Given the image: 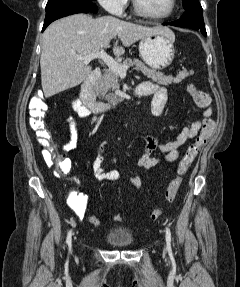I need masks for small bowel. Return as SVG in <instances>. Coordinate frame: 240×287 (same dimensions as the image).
I'll use <instances>...</instances> for the list:
<instances>
[{
    "mask_svg": "<svg viewBox=\"0 0 240 287\" xmlns=\"http://www.w3.org/2000/svg\"><path fill=\"white\" fill-rule=\"evenodd\" d=\"M141 96H151V111L154 115L160 116L165 110L167 103V90L153 82L145 81L138 88ZM72 107L81 117L90 115V110L82 103L80 99L72 100ZM212 115V109L207 108L203 113V119L187 124L178 136L165 143H159L154 136H148L145 143L143 155L137 162V166L144 169H152L163 162H175L180 157V149L190 140L196 137L203 121L209 119ZM65 120L70 127V140L63 146V153H68L76 149L78 145V130L75 120L71 116H66ZM43 146L49 147V142L39 141ZM159 151L161 156H153L152 152ZM109 152V145L105 144L101 147L92 164V172L94 177L99 180H118L120 172L116 169H108V165L113 164L115 158L112 157L109 163L106 162V156ZM43 158L47 163H51L52 156L48 148L43 149ZM69 161V160H68ZM70 162V161H69ZM131 183L137 187L142 185V177L135 176L131 178ZM88 197L83 193L72 194L68 199L69 207L75 212L78 218L85 215L87 209Z\"/></svg>",
    "mask_w": 240,
    "mask_h": 287,
    "instance_id": "c3829d8e",
    "label": "small bowel"
}]
</instances>
